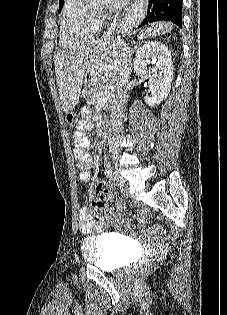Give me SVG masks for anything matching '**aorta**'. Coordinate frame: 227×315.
<instances>
[{
  "label": "aorta",
  "mask_w": 227,
  "mask_h": 315,
  "mask_svg": "<svg viewBox=\"0 0 227 315\" xmlns=\"http://www.w3.org/2000/svg\"><path fill=\"white\" fill-rule=\"evenodd\" d=\"M92 4H103L106 0H86Z\"/></svg>",
  "instance_id": "obj_1"
}]
</instances>
